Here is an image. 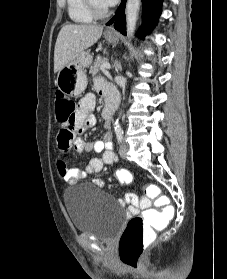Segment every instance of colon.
I'll use <instances>...</instances> for the list:
<instances>
[{
  "label": "colon",
  "mask_w": 227,
  "mask_h": 279,
  "mask_svg": "<svg viewBox=\"0 0 227 279\" xmlns=\"http://www.w3.org/2000/svg\"><path fill=\"white\" fill-rule=\"evenodd\" d=\"M75 102L67 96H59L55 103V115L65 134L72 136L76 131L75 124ZM116 180L121 184L131 183L133 174L126 169L115 173ZM149 196L158 207L146 209L141 215L133 217L127 224L119 245V256L122 262L135 266L143 252V242L153 236L154 232L163 227L166 220H172L174 213L169 208H162L168 197L160 188L150 182H145Z\"/></svg>",
  "instance_id": "colon-1"
}]
</instances>
